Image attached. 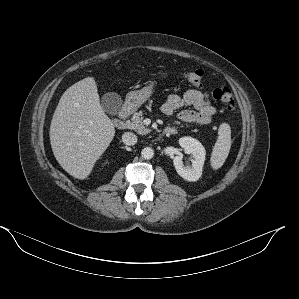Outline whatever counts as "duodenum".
<instances>
[{
    "instance_id": "obj_1",
    "label": "duodenum",
    "mask_w": 299,
    "mask_h": 299,
    "mask_svg": "<svg viewBox=\"0 0 299 299\" xmlns=\"http://www.w3.org/2000/svg\"><path fill=\"white\" fill-rule=\"evenodd\" d=\"M131 113V108L130 107H125L122 112H121V116L116 119L114 121V124L116 126V128L118 129H125L127 126V119L130 116ZM176 133V129L173 127H166L165 129H163L160 133V138L164 137V136H171L174 135Z\"/></svg>"
}]
</instances>
